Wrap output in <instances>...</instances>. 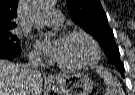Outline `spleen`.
Segmentation results:
<instances>
[{"mask_svg": "<svg viewBox=\"0 0 135 95\" xmlns=\"http://www.w3.org/2000/svg\"><path fill=\"white\" fill-rule=\"evenodd\" d=\"M96 72L104 79L107 86L105 95H125L120 82L110 72L102 67H97Z\"/></svg>", "mask_w": 135, "mask_h": 95, "instance_id": "spleen-1", "label": "spleen"}]
</instances>
